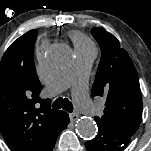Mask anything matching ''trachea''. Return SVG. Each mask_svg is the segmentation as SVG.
<instances>
[{
  "label": "trachea",
  "instance_id": "obj_1",
  "mask_svg": "<svg viewBox=\"0 0 151 151\" xmlns=\"http://www.w3.org/2000/svg\"><path fill=\"white\" fill-rule=\"evenodd\" d=\"M55 109H64L65 111L72 113L73 111V105L67 98L59 97L57 98L52 105Z\"/></svg>",
  "mask_w": 151,
  "mask_h": 151
}]
</instances>
